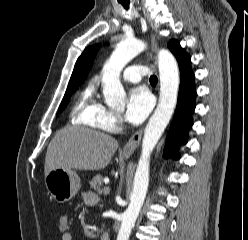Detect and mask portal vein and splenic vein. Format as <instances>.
Listing matches in <instances>:
<instances>
[{"instance_id":"18ae733b","label":"portal vein and splenic vein","mask_w":248,"mask_h":240,"mask_svg":"<svg viewBox=\"0 0 248 240\" xmlns=\"http://www.w3.org/2000/svg\"><path fill=\"white\" fill-rule=\"evenodd\" d=\"M110 193V188L108 186L103 188V194L108 195Z\"/></svg>"}]
</instances>
